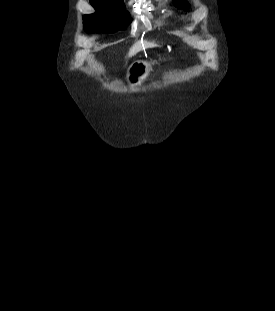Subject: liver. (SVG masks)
Listing matches in <instances>:
<instances>
[{
  "instance_id": "6515ba94",
  "label": "liver",
  "mask_w": 275,
  "mask_h": 311,
  "mask_svg": "<svg viewBox=\"0 0 275 311\" xmlns=\"http://www.w3.org/2000/svg\"><path fill=\"white\" fill-rule=\"evenodd\" d=\"M155 43L154 42H148V41H139L135 43L129 50L128 56H134L137 54L139 51H141L144 48H151L154 47Z\"/></svg>"
}]
</instances>
